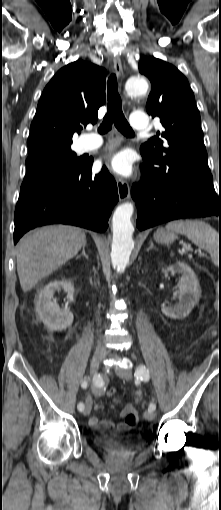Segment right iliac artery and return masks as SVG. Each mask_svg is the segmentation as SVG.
Segmentation results:
<instances>
[{"instance_id": "obj_1", "label": "right iliac artery", "mask_w": 221, "mask_h": 510, "mask_svg": "<svg viewBox=\"0 0 221 510\" xmlns=\"http://www.w3.org/2000/svg\"><path fill=\"white\" fill-rule=\"evenodd\" d=\"M87 385H88V381H87V379H84V381L81 384L82 388H86ZM77 408H78L79 411H83L84 410V404L83 403H79L77 405Z\"/></svg>"}]
</instances>
